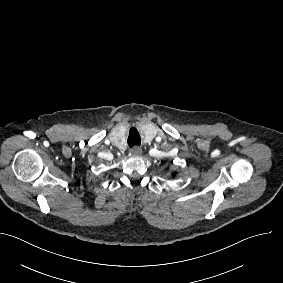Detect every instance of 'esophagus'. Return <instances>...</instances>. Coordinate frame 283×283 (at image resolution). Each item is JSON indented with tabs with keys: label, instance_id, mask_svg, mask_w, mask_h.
Masks as SVG:
<instances>
[{
	"label": "esophagus",
	"instance_id": "obj_1",
	"mask_svg": "<svg viewBox=\"0 0 283 283\" xmlns=\"http://www.w3.org/2000/svg\"><path fill=\"white\" fill-rule=\"evenodd\" d=\"M130 151L133 156L140 157L142 154V149L138 146L133 147Z\"/></svg>",
	"mask_w": 283,
	"mask_h": 283
}]
</instances>
